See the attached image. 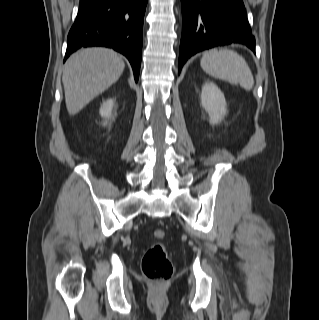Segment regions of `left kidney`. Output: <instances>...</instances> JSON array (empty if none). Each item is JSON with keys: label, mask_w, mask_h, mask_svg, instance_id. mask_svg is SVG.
Returning <instances> with one entry per match:
<instances>
[{"label": "left kidney", "mask_w": 319, "mask_h": 320, "mask_svg": "<svg viewBox=\"0 0 319 320\" xmlns=\"http://www.w3.org/2000/svg\"><path fill=\"white\" fill-rule=\"evenodd\" d=\"M201 106L209 114L210 123L221 122L227 113V104L222 91L212 82H206L202 87Z\"/></svg>", "instance_id": "obj_1"}]
</instances>
